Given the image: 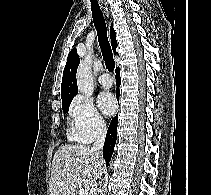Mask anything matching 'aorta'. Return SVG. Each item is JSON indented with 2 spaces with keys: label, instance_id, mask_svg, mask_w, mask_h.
Masks as SVG:
<instances>
[{
  "label": "aorta",
  "instance_id": "obj_1",
  "mask_svg": "<svg viewBox=\"0 0 211 195\" xmlns=\"http://www.w3.org/2000/svg\"><path fill=\"white\" fill-rule=\"evenodd\" d=\"M92 59L88 55L81 61L77 70V86L81 93L91 95L94 89V80L91 70Z\"/></svg>",
  "mask_w": 211,
  "mask_h": 195
}]
</instances>
